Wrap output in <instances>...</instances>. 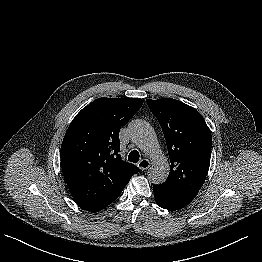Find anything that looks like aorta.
Masks as SVG:
<instances>
[{
  "instance_id": "762f6f07",
  "label": "aorta",
  "mask_w": 262,
  "mask_h": 262,
  "mask_svg": "<svg viewBox=\"0 0 262 262\" xmlns=\"http://www.w3.org/2000/svg\"><path fill=\"white\" fill-rule=\"evenodd\" d=\"M131 140L151 159L148 179L153 184H162L169 175L167 157L162 152L154 129L146 122L136 120L129 126Z\"/></svg>"
}]
</instances>
